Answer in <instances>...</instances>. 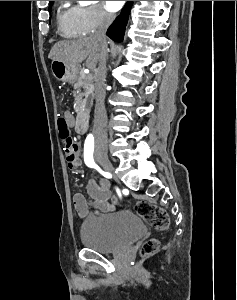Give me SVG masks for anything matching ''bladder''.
Returning <instances> with one entry per match:
<instances>
[{
	"instance_id": "1",
	"label": "bladder",
	"mask_w": 237,
	"mask_h": 300,
	"mask_svg": "<svg viewBox=\"0 0 237 300\" xmlns=\"http://www.w3.org/2000/svg\"><path fill=\"white\" fill-rule=\"evenodd\" d=\"M144 233L141 218L132 211L122 210L87 218L80 228V240L86 248L114 253L130 247Z\"/></svg>"
}]
</instances>
